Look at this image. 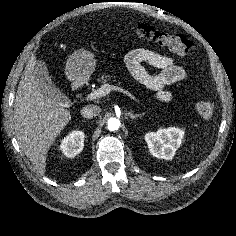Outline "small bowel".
<instances>
[{"label": "small bowel", "instance_id": "c3829d8e", "mask_svg": "<svg viewBox=\"0 0 236 236\" xmlns=\"http://www.w3.org/2000/svg\"><path fill=\"white\" fill-rule=\"evenodd\" d=\"M125 62L132 77L141 87L152 91L155 99L161 102H169L172 98V94L164 90L165 86L184 81L187 78L186 71L175 59L152 50L134 49L127 54ZM144 64L160 68L161 72L151 75Z\"/></svg>", "mask_w": 236, "mask_h": 236}]
</instances>
